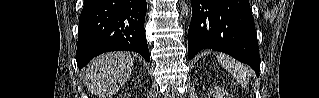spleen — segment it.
Instances as JSON below:
<instances>
[{
  "instance_id": "obj_1",
  "label": "spleen",
  "mask_w": 319,
  "mask_h": 98,
  "mask_svg": "<svg viewBox=\"0 0 319 98\" xmlns=\"http://www.w3.org/2000/svg\"><path fill=\"white\" fill-rule=\"evenodd\" d=\"M217 59L220 64L226 70H228L242 86L247 85L248 71L240 62H237L224 54L218 55Z\"/></svg>"
}]
</instances>
